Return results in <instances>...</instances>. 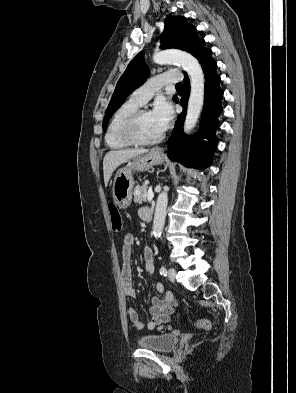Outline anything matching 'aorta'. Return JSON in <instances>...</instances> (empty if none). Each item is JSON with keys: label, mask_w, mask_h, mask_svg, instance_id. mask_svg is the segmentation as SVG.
I'll return each mask as SVG.
<instances>
[{"label": "aorta", "mask_w": 296, "mask_h": 393, "mask_svg": "<svg viewBox=\"0 0 296 393\" xmlns=\"http://www.w3.org/2000/svg\"><path fill=\"white\" fill-rule=\"evenodd\" d=\"M153 61L159 65L178 63L189 75L190 96L184 122V132L189 133L196 125L204 104L205 77L198 60L191 54L179 50H164L153 55ZM168 194L162 191L157 198L153 222V235L159 237L163 231Z\"/></svg>", "instance_id": "1"}]
</instances>
